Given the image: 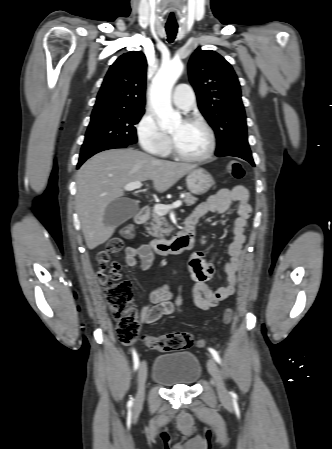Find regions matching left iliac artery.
Here are the masks:
<instances>
[{
	"instance_id": "44dca946",
	"label": "left iliac artery",
	"mask_w": 332,
	"mask_h": 449,
	"mask_svg": "<svg viewBox=\"0 0 332 449\" xmlns=\"http://www.w3.org/2000/svg\"><path fill=\"white\" fill-rule=\"evenodd\" d=\"M209 351H210L211 355L213 356V358L215 359V361L217 363L221 364V359H220L218 352L216 350H214L213 348H209ZM231 394L233 397L236 396V394L234 392H231Z\"/></svg>"
}]
</instances>
